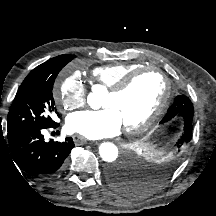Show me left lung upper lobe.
<instances>
[{"label": "left lung upper lobe", "mask_w": 216, "mask_h": 216, "mask_svg": "<svg viewBox=\"0 0 216 216\" xmlns=\"http://www.w3.org/2000/svg\"><path fill=\"white\" fill-rule=\"evenodd\" d=\"M194 115V108L190 99L186 96H177L173 104L169 107L166 115L160 121L163 127L168 128L176 122L180 124L181 135L169 141L168 138L162 139L161 148L167 154L178 155L184 146L188 144L192 137V121ZM149 189L148 184H141L134 182L133 195H138Z\"/></svg>", "instance_id": "left-lung-upper-lobe-1"}]
</instances>
